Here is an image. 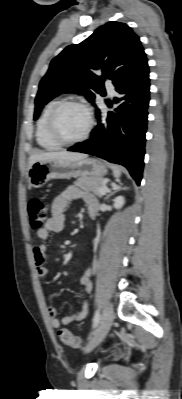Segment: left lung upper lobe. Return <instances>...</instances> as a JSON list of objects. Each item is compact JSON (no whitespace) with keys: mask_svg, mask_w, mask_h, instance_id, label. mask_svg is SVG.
Here are the masks:
<instances>
[{"mask_svg":"<svg viewBox=\"0 0 182 399\" xmlns=\"http://www.w3.org/2000/svg\"><path fill=\"white\" fill-rule=\"evenodd\" d=\"M146 61L139 37L130 27L120 22L100 26L86 40L66 47L51 61L39 84L34 120L42 107L60 93L84 94L94 104L105 79L112 80L116 87Z\"/></svg>","mask_w":182,"mask_h":399,"instance_id":"left-lung-upper-lobe-1","label":"left lung upper lobe"}]
</instances>
